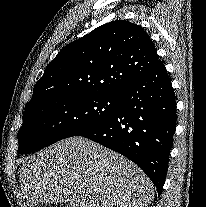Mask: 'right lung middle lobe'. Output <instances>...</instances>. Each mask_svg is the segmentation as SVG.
Returning a JSON list of instances; mask_svg holds the SVG:
<instances>
[{
  "mask_svg": "<svg viewBox=\"0 0 206 207\" xmlns=\"http://www.w3.org/2000/svg\"><path fill=\"white\" fill-rule=\"evenodd\" d=\"M119 94L55 98L25 110L18 132V153L38 151L61 139L77 136L113 115Z\"/></svg>",
  "mask_w": 206,
  "mask_h": 207,
  "instance_id": "right-lung-middle-lobe-1",
  "label": "right lung middle lobe"
}]
</instances>
